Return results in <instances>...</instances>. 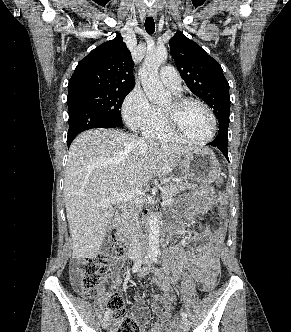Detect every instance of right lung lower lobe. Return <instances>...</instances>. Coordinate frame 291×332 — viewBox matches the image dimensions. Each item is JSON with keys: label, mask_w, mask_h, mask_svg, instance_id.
<instances>
[{"label": "right lung lower lobe", "mask_w": 291, "mask_h": 332, "mask_svg": "<svg viewBox=\"0 0 291 332\" xmlns=\"http://www.w3.org/2000/svg\"><path fill=\"white\" fill-rule=\"evenodd\" d=\"M92 128H115V126L106 116L87 105L73 107L69 111L68 147L79 133Z\"/></svg>", "instance_id": "obj_1"}]
</instances>
